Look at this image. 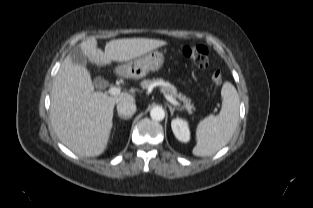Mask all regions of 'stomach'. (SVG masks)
<instances>
[{"instance_id":"obj_1","label":"stomach","mask_w":313,"mask_h":208,"mask_svg":"<svg viewBox=\"0 0 313 208\" xmlns=\"http://www.w3.org/2000/svg\"><path fill=\"white\" fill-rule=\"evenodd\" d=\"M164 55L157 50L149 52L144 57L135 59L116 68V72L127 78H142L150 71H158L163 67Z\"/></svg>"}]
</instances>
